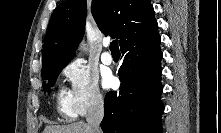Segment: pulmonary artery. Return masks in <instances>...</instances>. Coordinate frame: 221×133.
Here are the masks:
<instances>
[{"instance_id": "e3ab8cb5", "label": "pulmonary artery", "mask_w": 221, "mask_h": 133, "mask_svg": "<svg viewBox=\"0 0 221 133\" xmlns=\"http://www.w3.org/2000/svg\"><path fill=\"white\" fill-rule=\"evenodd\" d=\"M103 45L107 48L109 46V41H104ZM101 60L106 65L112 64L113 62L112 54L108 51H104L101 55Z\"/></svg>"}]
</instances>
